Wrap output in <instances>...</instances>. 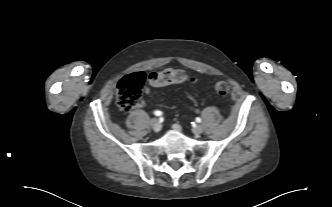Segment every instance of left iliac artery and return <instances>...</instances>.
<instances>
[{
  "label": "left iliac artery",
  "mask_w": 332,
  "mask_h": 207,
  "mask_svg": "<svg viewBox=\"0 0 332 207\" xmlns=\"http://www.w3.org/2000/svg\"><path fill=\"white\" fill-rule=\"evenodd\" d=\"M196 121H197L198 123H200V122H201V118L197 117V118H196Z\"/></svg>",
  "instance_id": "1"
}]
</instances>
